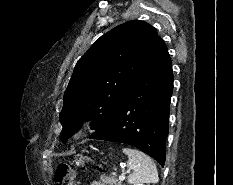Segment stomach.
I'll return each mask as SVG.
<instances>
[{
    "mask_svg": "<svg viewBox=\"0 0 233 185\" xmlns=\"http://www.w3.org/2000/svg\"><path fill=\"white\" fill-rule=\"evenodd\" d=\"M76 164H77V165L83 164V161L77 160V161H76Z\"/></svg>",
    "mask_w": 233,
    "mask_h": 185,
    "instance_id": "1",
    "label": "stomach"
}]
</instances>
